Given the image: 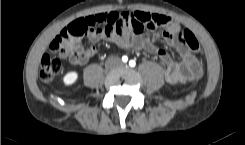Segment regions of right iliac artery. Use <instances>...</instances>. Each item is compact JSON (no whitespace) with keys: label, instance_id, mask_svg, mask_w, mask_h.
<instances>
[{"label":"right iliac artery","instance_id":"1","mask_svg":"<svg viewBox=\"0 0 245 145\" xmlns=\"http://www.w3.org/2000/svg\"><path fill=\"white\" fill-rule=\"evenodd\" d=\"M122 61H123V62H127V61H128V57H127V56H123V57H122Z\"/></svg>","mask_w":245,"mask_h":145}]
</instances>
